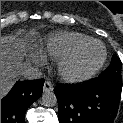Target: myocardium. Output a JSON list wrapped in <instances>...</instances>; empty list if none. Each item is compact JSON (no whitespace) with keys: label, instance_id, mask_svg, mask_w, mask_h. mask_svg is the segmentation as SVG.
<instances>
[{"label":"myocardium","instance_id":"myocardium-1","mask_svg":"<svg viewBox=\"0 0 123 123\" xmlns=\"http://www.w3.org/2000/svg\"><path fill=\"white\" fill-rule=\"evenodd\" d=\"M91 44H98L102 49V56L100 60L93 65L89 70L81 73H76L70 70L69 66L73 62V60L89 45ZM107 53L104 45L94 39H89L75 48H73L71 51H69L67 54L62 56L57 61V73L60 76V78L66 82L69 83H77V82H83L86 80L91 79L94 77L99 70L103 67L105 61H106Z\"/></svg>","mask_w":123,"mask_h":123}]
</instances>
